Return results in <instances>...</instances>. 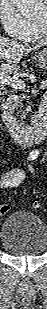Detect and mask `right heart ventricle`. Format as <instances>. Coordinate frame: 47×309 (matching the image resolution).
Here are the masks:
<instances>
[{"instance_id": "1", "label": "right heart ventricle", "mask_w": 47, "mask_h": 309, "mask_svg": "<svg viewBox=\"0 0 47 309\" xmlns=\"http://www.w3.org/2000/svg\"><path fill=\"white\" fill-rule=\"evenodd\" d=\"M40 38L41 37L38 35L34 25L32 24L31 32H30L29 36L27 37V39L25 41H27V42H35V41L40 40Z\"/></svg>"}]
</instances>
